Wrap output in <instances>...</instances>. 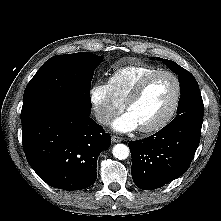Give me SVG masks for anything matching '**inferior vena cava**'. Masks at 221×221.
Returning <instances> with one entry per match:
<instances>
[{
    "instance_id": "602c4592",
    "label": "inferior vena cava",
    "mask_w": 221,
    "mask_h": 221,
    "mask_svg": "<svg viewBox=\"0 0 221 221\" xmlns=\"http://www.w3.org/2000/svg\"><path fill=\"white\" fill-rule=\"evenodd\" d=\"M95 117H96V120L103 125L109 124L110 120L112 119L110 114L102 110H96Z\"/></svg>"
}]
</instances>
